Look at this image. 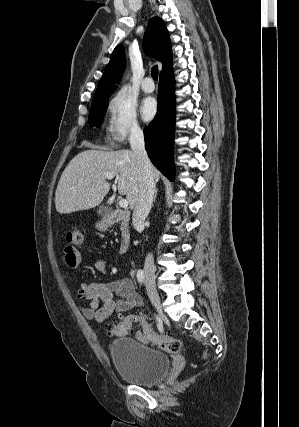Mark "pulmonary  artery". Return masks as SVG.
I'll list each match as a JSON object with an SVG mask.
<instances>
[{"instance_id": "e3ab8cb5", "label": "pulmonary artery", "mask_w": 299, "mask_h": 427, "mask_svg": "<svg viewBox=\"0 0 299 427\" xmlns=\"http://www.w3.org/2000/svg\"><path fill=\"white\" fill-rule=\"evenodd\" d=\"M141 87H142V90L146 93H151L154 91V84L150 77L144 78Z\"/></svg>"}]
</instances>
